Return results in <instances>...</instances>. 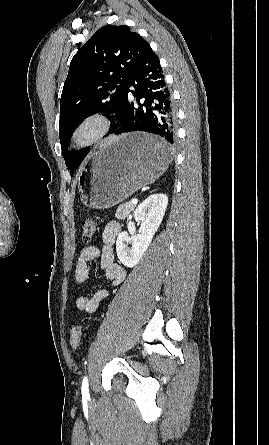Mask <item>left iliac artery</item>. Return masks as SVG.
<instances>
[{
    "label": "left iliac artery",
    "mask_w": 269,
    "mask_h": 445,
    "mask_svg": "<svg viewBox=\"0 0 269 445\" xmlns=\"http://www.w3.org/2000/svg\"><path fill=\"white\" fill-rule=\"evenodd\" d=\"M81 392H82V397L84 399H89V386H88V378H87V376H85L83 381H82Z\"/></svg>",
    "instance_id": "1"
}]
</instances>
